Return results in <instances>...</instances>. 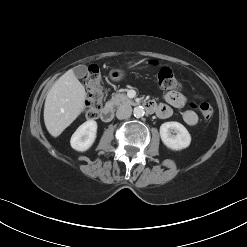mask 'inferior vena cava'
Wrapping results in <instances>:
<instances>
[{
    "label": "inferior vena cava",
    "mask_w": 247,
    "mask_h": 247,
    "mask_svg": "<svg viewBox=\"0 0 247 247\" xmlns=\"http://www.w3.org/2000/svg\"><path fill=\"white\" fill-rule=\"evenodd\" d=\"M132 113V108L128 104H123L118 107L117 112H116V117L118 119H126L131 116Z\"/></svg>",
    "instance_id": "602c4592"
}]
</instances>
